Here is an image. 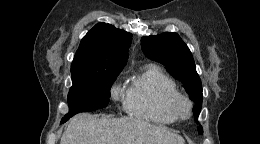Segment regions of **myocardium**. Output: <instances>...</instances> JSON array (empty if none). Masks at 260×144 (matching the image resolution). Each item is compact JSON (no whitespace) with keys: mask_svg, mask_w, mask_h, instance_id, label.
Segmentation results:
<instances>
[{"mask_svg":"<svg viewBox=\"0 0 260 144\" xmlns=\"http://www.w3.org/2000/svg\"><path fill=\"white\" fill-rule=\"evenodd\" d=\"M181 105H185L186 110L182 112L180 109ZM192 102L184 94L176 93L169 96L165 101L166 110L176 119V120H187L192 114Z\"/></svg>","mask_w":260,"mask_h":144,"instance_id":"myocardium-1","label":"myocardium"}]
</instances>
